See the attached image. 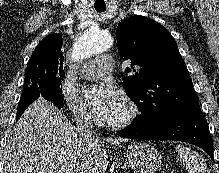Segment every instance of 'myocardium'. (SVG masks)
I'll list each match as a JSON object with an SVG mask.
<instances>
[{
    "label": "myocardium",
    "instance_id": "obj_1",
    "mask_svg": "<svg viewBox=\"0 0 219 173\" xmlns=\"http://www.w3.org/2000/svg\"><path fill=\"white\" fill-rule=\"evenodd\" d=\"M121 99L127 106L128 112L123 118L119 120H108L106 122V125L111 129L121 130L128 128L135 123V121L138 119L140 115V108L137 102L131 96H129L126 93H122Z\"/></svg>",
    "mask_w": 219,
    "mask_h": 173
}]
</instances>
